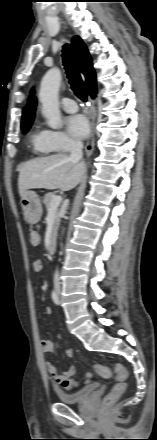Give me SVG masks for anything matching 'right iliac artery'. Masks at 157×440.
Instances as JSON below:
<instances>
[{
	"label": "right iliac artery",
	"instance_id": "right-iliac-artery-1",
	"mask_svg": "<svg viewBox=\"0 0 157 440\" xmlns=\"http://www.w3.org/2000/svg\"><path fill=\"white\" fill-rule=\"evenodd\" d=\"M52 300H53V302H54L56 305L59 304L58 295H57V293H56L54 290L52 291Z\"/></svg>",
	"mask_w": 157,
	"mask_h": 440
}]
</instances>
